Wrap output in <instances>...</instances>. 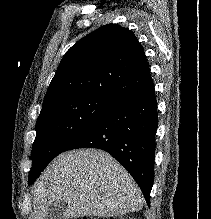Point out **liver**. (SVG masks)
Instances as JSON below:
<instances>
[{
	"label": "liver",
	"instance_id": "6515ba94",
	"mask_svg": "<svg viewBox=\"0 0 211 219\" xmlns=\"http://www.w3.org/2000/svg\"><path fill=\"white\" fill-rule=\"evenodd\" d=\"M64 201V219L114 217L139 211L141 191L131 175L105 151L79 149L55 158L34 185V219Z\"/></svg>",
	"mask_w": 211,
	"mask_h": 219
}]
</instances>
